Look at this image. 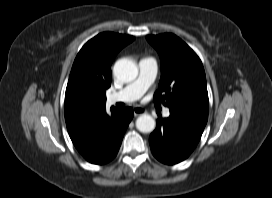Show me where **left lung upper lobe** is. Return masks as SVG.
<instances>
[{
	"instance_id": "5c2ea615",
	"label": "left lung upper lobe",
	"mask_w": 272,
	"mask_h": 198,
	"mask_svg": "<svg viewBox=\"0 0 272 198\" xmlns=\"http://www.w3.org/2000/svg\"><path fill=\"white\" fill-rule=\"evenodd\" d=\"M161 61V79L154 101L208 115L206 76L201 60L180 38L171 33L146 36Z\"/></svg>"
}]
</instances>
